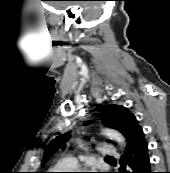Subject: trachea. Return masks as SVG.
<instances>
[{
  "mask_svg": "<svg viewBox=\"0 0 170 173\" xmlns=\"http://www.w3.org/2000/svg\"><path fill=\"white\" fill-rule=\"evenodd\" d=\"M107 158H112V157H110V156H107Z\"/></svg>",
  "mask_w": 170,
  "mask_h": 173,
  "instance_id": "trachea-1",
  "label": "trachea"
}]
</instances>
